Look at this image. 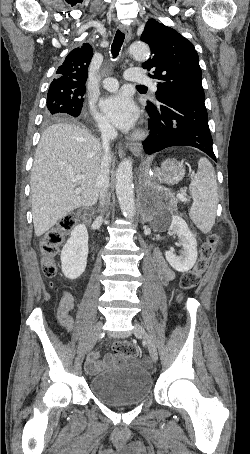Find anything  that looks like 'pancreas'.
Returning a JSON list of instances; mask_svg holds the SVG:
<instances>
[{"instance_id": "cf45deb5", "label": "pancreas", "mask_w": 250, "mask_h": 454, "mask_svg": "<svg viewBox=\"0 0 250 454\" xmlns=\"http://www.w3.org/2000/svg\"><path fill=\"white\" fill-rule=\"evenodd\" d=\"M170 197V205L172 206L173 209L176 208L177 206V199L172 194H169Z\"/></svg>"}]
</instances>
